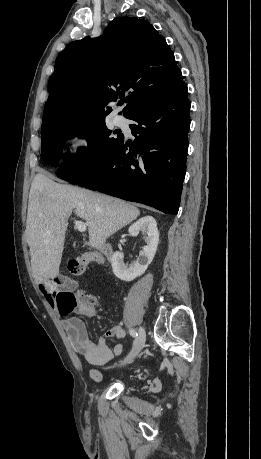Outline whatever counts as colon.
Wrapping results in <instances>:
<instances>
[{
  "label": "colon",
  "mask_w": 261,
  "mask_h": 459,
  "mask_svg": "<svg viewBox=\"0 0 261 459\" xmlns=\"http://www.w3.org/2000/svg\"><path fill=\"white\" fill-rule=\"evenodd\" d=\"M92 261V256L87 254L82 257L71 258L68 261L67 267L72 275H82L85 271L86 265ZM96 297L92 294L80 292L70 293L65 295L60 304V312L62 315H69L72 311L78 310L80 312L96 311Z\"/></svg>",
  "instance_id": "colon-1"
}]
</instances>
